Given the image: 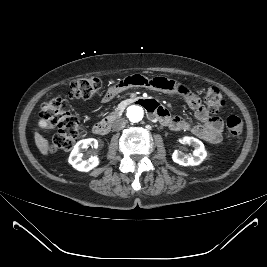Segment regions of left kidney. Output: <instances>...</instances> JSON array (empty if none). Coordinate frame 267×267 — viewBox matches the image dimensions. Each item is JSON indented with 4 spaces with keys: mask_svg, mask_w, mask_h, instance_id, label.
Instances as JSON below:
<instances>
[{
    "mask_svg": "<svg viewBox=\"0 0 267 267\" xmlns=\"http://www.w3.org/2000/svg\"><path fill=\"white\" fill-rule=\"evenodd\" d=\"M182 141L194 147L193 156H187L181 151L175 150L172 154L173 161L182 166L199 165L207 156L204 144L197 138L189 136L184 137Z\"/></svg>",
    "mask_w": 267,
    "mask_h": 267,
    "instance_id": "1",
    "label": "left kidney"
}]
</instances>
